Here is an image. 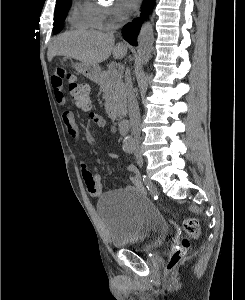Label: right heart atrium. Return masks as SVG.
Here are the masks:
<instances>
[{"label":"right heart atrium","mask_w":245,"mask_h":300,"mask_svg":"<svg viewBox=\"0 0 245 300\" xmlns=\"http://www.w3.org/2000/svg\"><path fill=\"white\" fill-rule=\"evenodd\" d=\"M91 4L95 10L98 26L101 28L111 29L120 20V11L117 6L101 2Z\"/></svg>","instance_id":"obj_1"}]
</instances>
